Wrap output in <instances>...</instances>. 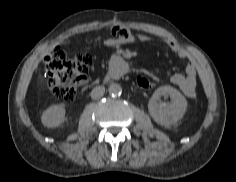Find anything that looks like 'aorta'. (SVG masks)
<instances>
[{
	"mask_svg": "<svg viewBox=\"0 0 236 182\" xmlns=\"http://www.w3.org/2000/svg\"><path fill=\"white\" fill-rule=\"evenodd\" d=\"M108 92L112 96H118L122 93V87L119 84L112 83L108 87Z\"/></svg>",
	"mask_w": 236,
	"mask_h": 182,
	"instance_id": "obj_1",
	"label": "aorta"
}]
</instances>
